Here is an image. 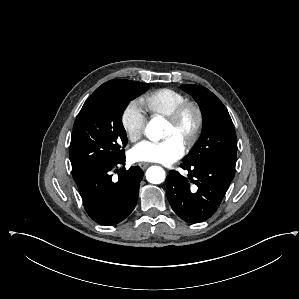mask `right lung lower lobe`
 I'll return each instance as SVG.
<instances>
[{
	"mask_svg": "<svg viewBox=\"0 0 299 299\" xmlns=\"http://www.w3.org/2000/svg\"><path fill=\"white\" fill-rule=\"evenodd\" d=\"M124 162L125 155L76 181L86 212L100 224H117L135 207L143 171L137 166L118 171L117 166ZM112 172H118L117 182L112 181Z\"/></svg>",
	"mask_w": 299,
	"mask_h": 299,
	"instance_id": "obj_1",
	"label": "right lung lower lobe"
}]
</instances>
